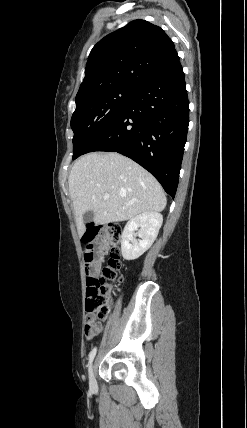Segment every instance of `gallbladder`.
<instances>
[{"label": "gallbladder", "instance_id": "bac80fb5", "mask_svg": "<svg viewBox=\"0 0 247 428\" xmlns=\"http://www.w3.org/2000/svg\"><path fill=\"white\" fill-rule=\"evenodd\" d=\"M83 219L85 222H91L94 219L93 211H87L83 215Z\"/></svg>", "mask_w": 247, "mask_h": 428}]
</instances>
